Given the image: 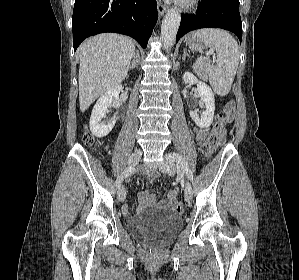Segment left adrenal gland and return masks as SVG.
<instances>
[{"label": "left adrenal gland", "instance_id": "obj_1", "mask_svg": "<svg viewBox=\"0 0 299 280\" xmlns=\"http://www.w3.org/2000/svg\"><path fill=\"white\" fill-rule=\"evenodd\" d=\"M187 56H189L188 53H187V50L184 49V50H183V57H182V60L185 61V59H186Z\"/></svg>", "mask_w": 299, "mask_h": 280}]
</instances>
